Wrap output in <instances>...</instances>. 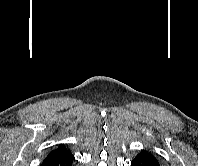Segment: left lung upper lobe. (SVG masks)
Instances as JSON below:
<instances>
[{"instance_id":"1","label":"left lung upper lobe","mask_w":198,"mask_h":166,"mask_svg":"<svg viewBox=\"0 0 198 166\" xmlns=\"http://www.w3.org/2000/svg\"><path fill=\"white\" fill-rule=\"evenodd\" d=\"M140 153L155 158V157L153 156V154H152L151 152L147 151V150H143V151L140 152Z\"/></svg>"}]
</instances>
